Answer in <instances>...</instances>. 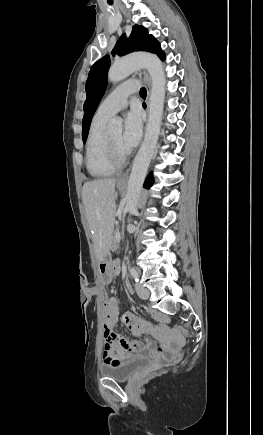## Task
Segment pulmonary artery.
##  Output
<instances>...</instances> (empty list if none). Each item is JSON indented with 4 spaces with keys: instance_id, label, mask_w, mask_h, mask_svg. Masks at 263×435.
<instances>
[{
    "instance_id": "obj_1",
    "label": "pulmonary artery",
    "mask_w": 263,
    "mask_h": 435,
    "mask_svg": "<svg viewBox=\"0 0 263 435\" xmlns=\"http://www.w3.org/2000/svg\"><path fill=\"white\" fill-rule=\"evenodd\" d=\"M139 89L137 81H128L116 87L99 105L96 116L109 119L126 107L128 97Z\"/></svg>"
}]
</instances>
